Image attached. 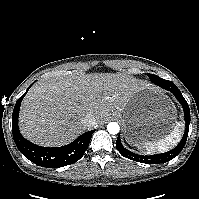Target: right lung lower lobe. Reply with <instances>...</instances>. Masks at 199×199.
I'll list each match as a JSON object with an SVG mask.
<instances>
[{"instance_id":"1","label":"right lung lower lobe","mask_w":199,"mask_h":199,"mask_svg":"<svg viewBox=\"0 0 199 199\" xmlns=\"http://www.w3.org/2000/svg\"><path fill=\"white\" fill-rule=\"evenodd\" d=\"M26 93L17 100L12 114L13 138L20 152L33 163L48 168L63 167L78 161L87 150L95 130L86 132L72 143L58 148L41 147L29 142L21 135L18 128L19 108Z\"/></svg>"}]
</instances>
